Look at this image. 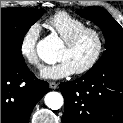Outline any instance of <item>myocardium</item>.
Segmentation results:
<instances>
[{
  "instance_id": "myocardium-1",
  "label": "myocardium",
  "mask_w": 123,
  "mask_h": 123,
  "mask_svg": "<svg viewBox=\"0 0 123 123\" xmlns=\"http://www.w3.org/2000/svg\"><path fill=\"white\" fill-rule=\"evenodd\" d=\"M87 34H92L96 39V50L91 58V60L80 69L75 70L76 74H84L89 72L91 69L95 67V65L98 63V61L101 58V55L104 50V37L100 30L93 28V27H85L83 29H80L73 33L71 36H69L67 39L64 40V45L67 48L73 47L83 36Z\"/></svg>"
}]
</instances>
